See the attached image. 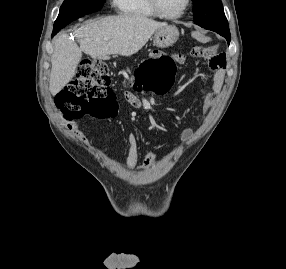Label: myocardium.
<instances>
[{
	"label": "myocardium",
	"instance_id": "f54148a6",
	"mask_svg": "<svg viewBox=\"0 0 286 269\" xmlns=\"http://www.w3.org/2000/svg\"><path fill=\"white\" fill-rule=\"evenodd\" d=\"M149 3L153 11L157 14V16L165 18V19L173 20V19L181 18L183 15H185V13L187 12V10L189 9L191 5V0H186L183 9L179 13L173 14V15L166 13L161 8L159 0H149Z\"/></svg>",
	"mask_w": 286,
	"mask_h": 269
}]
</instances>
